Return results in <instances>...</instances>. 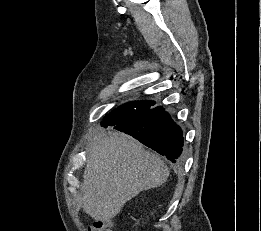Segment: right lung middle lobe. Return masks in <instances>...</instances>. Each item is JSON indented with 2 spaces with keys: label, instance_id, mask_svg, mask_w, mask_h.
Listing matches in <instances>:
<instances>
[{
  "label": "right lung middle lobe",
  "instance_id": "1",
  "mask_svg": "<svg viewBox=\"0 0 261 231\" xmlns=\"http://www.w3.org/2000/svg\"><path fill=\"white\" fill-rule=\"evenodd\" d=\"M153 105H155L154 101H135L126 103L106 116L101 124L103 127L119 125L148 111Z\"/></svg>",
  "mask_w": 261,
  "mask_h": 231
}]
</instances>
